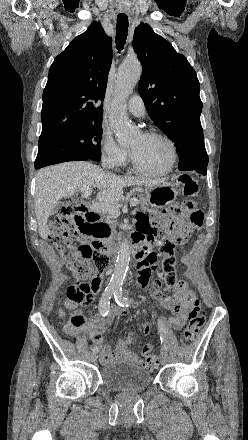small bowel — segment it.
I'll use <instances>...</instances> for the list:
<instances>
[{
    "mask_svg": "<svg viewBox=\"0 0 248 440\" xmlns=\"http://www.w3.org/2000/svg\"><path fill=\"white\" fill-rule=\"evenodd\" d=\"M164 226H169L173 229V236L177 234H189L192 227L183 222L179 215L174 211H163L156 213L152 218H149L145 214H139L137 216V233L136 235L142 237L144 240L154 241ZM183 263H190V257L185 256L182 259ZM143 266L139 268V285L145 287L150 280L151 270L155 267L151 265L158 264L157 272L161 280L155 279L150 282L147 290L157 300L159 306L163 309L173 312V316L170 320L172 326L175 329H180L185 323V314L195 310L198 307V301L191 291L189 285L185 281L178 280L176 273L180 266V261L177 257H162L158 258L156 255L143 258ZM92 274L97 282V288L95 293L99 291L103 272H107V267H98ZM163 288L166 292L175 291L173 296H170L160 290ZM82 314L80 311L76 312ZM122 312L117 308H112L106 316L94 317L88 326H73L70 323L64 325V331L71 337H78L80 334H86L90 339L94 341L95 346L100 349V362L107 364L116 360H128L135 363H141L142 360L132 349L134 342V335L132 333L126 334L121 338L116 347L112 348L109 345L104 344L103 335L106 332L108 326L116 315ZM59 315L64 317L66 312L64 309L59 311Z\"/></svg>",
    "mask_w": 248,
    "mask_h": 440,
    "instance_id": "1",
    "label": "small bowel"
}]
</instances>
